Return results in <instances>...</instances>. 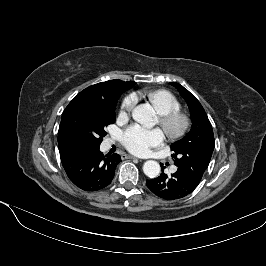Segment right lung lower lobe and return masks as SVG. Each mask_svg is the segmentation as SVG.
I'll list each match as a JSON object with an SVG mask.
<instances>
[{
  "label": "right lung lower lobe",
  "mask_w": 266,
  "mask_h": 266,
  "mask_svg": "<svg viewBox=\"0 0 266 266\" xmlns=\"http://www.w3.org/2000/svg\"><path fill=\"white\" fill-rule=\"evenodd\" d=\"M68 178L84 191H98L108 186L120 155L104 156L98 147L73 149L60 154Z\"/></svg>",
  "instance_id": "obj_1"
}]
</instances>
